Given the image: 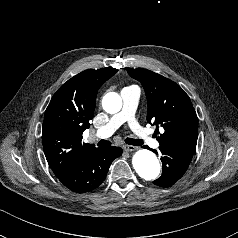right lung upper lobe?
<instances>
[{
    "label": "right lung upper lobe",
    "instance_id": "right-lung-upper-lobe-1",
    "mask_svg": "<svg viewBox=\"0 0 238 238\" xmlns=\"http://www.w3.org/2000/svg\"><path fill=\"white\" fill-rule=\"evenodd\" d=\"M117 71L111 67L85 70L53 95L44 116L42 142L47 162L57 178L96 148L94 144L82 143V134L93 118L98 89Z\"/></svg>",
    "mask_w": 238,
    "mask_h": 238
}]
</instances>
